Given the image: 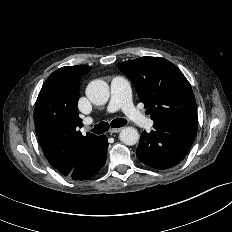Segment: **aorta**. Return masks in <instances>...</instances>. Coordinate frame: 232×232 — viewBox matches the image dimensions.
Masks as SVG:
<instances>
[{
	"label": "aorta",
	"instance_id": "aorta-1",
	"mask_svg": "<svg viewBox=\"0 0 232 232\" xmlns=\"http://www.w3.org/2000/svg\"><path fill=\"white\" fill-rule=\"evenodd\" d=\"M87 98L95 105H104L110 97L108 84L100 79L91 81L86 88ZM120 140L126 145H135L139 141V133L133 127H125L119 134Z\"/></svg>",
	"mask_w": 232,
	"mask_h": 232
}]
</instances>
